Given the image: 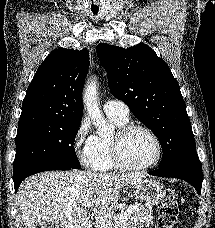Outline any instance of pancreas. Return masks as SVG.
<instances>
[{
    "label": "pancreas",
    "mask_w": 215,
    "mask_h": 228,
    "mask_svg": "<svg viewBox=\"0 0 215 228\" xmlns=\"http://www.w3.org/2000/svg\"><path fill=\"white\" fill-rule=\"evenodd\" d=\"M150 224H153V216L152 210H149L148 206H139L138 210H134L132 216H130L129 220H120V224L118 222H114L110 228H148Z\"/></svg>",
    "instance_id": "1"
}]
</instances>
